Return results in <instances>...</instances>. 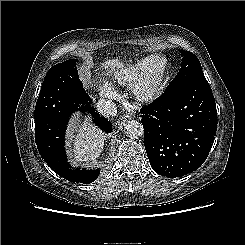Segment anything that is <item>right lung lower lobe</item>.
<instances>
[{"label": "right lung lower lobe", "mask_w": 245, "mask_h": 245, "mask_svg": "<svg viewBox=\"0 0 245 245\" xmlns=\"http://www.w3.org/2000/svg\"><path fill=\"white\" fill-rule=\"evenodd\" d=\"M96 125L105 132H111V123L95 113L90 107ZM70 116V115H69ZM69 116L58 119H35V141L41 157L61 177L77 183L89 184L99 175V170L70 169L67 161L64 138Z\"/></svg>", "instance_id": "right-lung-lower-lobe-1"}]
</instances>
